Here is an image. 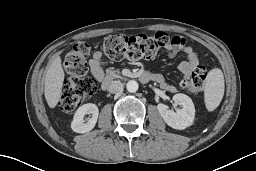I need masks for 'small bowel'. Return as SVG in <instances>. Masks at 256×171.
Wrapping results in <instances>:
<instances>
[{"instance_id": "obj_1", "label": "small bowel", "mask_w": 256, "mask_h": 171, "mask_svg": "<svg viewBox=\"0 0 256 171\" xmlns=\"http://www.w3.org/2000/svg\"><path fill=\"white\" fill-rule=\"evenodd\" d=\"M168 56L174 58L178 53H184L186 55V60L179 64V70L185 76H189L193 70L198 66L199 59L197 53L194 49L187 45L185 39L180 36H175L172 38L170 43L167 45ZM103 53L101 51H95L90 60L89 67L91 73L97 81H100L104 77V69L101 63ZM152 80L156 81L161 85L162 88L172 91L174 87L169 84L165 78L161 75H151Z\"/></svg>"}]
</instances>
